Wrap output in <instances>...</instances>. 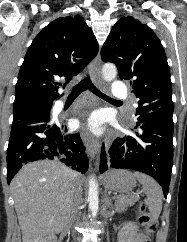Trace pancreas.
I'll return each instance as SVG.
<instances>
[{
    "mask_svg": "<svg viewBox=\"0 0 187 242\" xmlns=\"http://www.w3.org/2000/svg\"><path fill=\"white\" fill-rule=\"evenodd\" d=\"M139 199V196L137 195H120L115 197V210L118 213H121L125 211L128 207L133 206L135 202H137Z\"/></svg>",
    "mask_w": 187,
    "mask_h": 242,
    "instance_id": "cf45deb5",
    "label": "pancreas"
}]
</instances>
